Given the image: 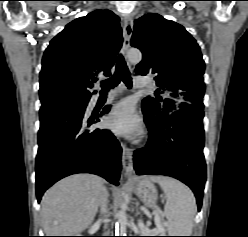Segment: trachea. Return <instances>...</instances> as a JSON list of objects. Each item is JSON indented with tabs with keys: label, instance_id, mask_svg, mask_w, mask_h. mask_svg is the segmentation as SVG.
<instances>
[{
	"label": "trachea",
	"instance_id": "3493384b",
	"mask_svg": "<svg viewBox=\"0 0 248 237\" xmlns=\"http://www.w3.org/2000/svg\"><path fill=\"white\" fill-rule=\"evenodd\" d=\"M120 81H123L128 88L132 87L131 75L122 55L117 58L116 71L112 77L102 82V91H108L116 87Z\"/></svg>",
	"mask_w": 248,
	"mask_h": 237
}]
</instances>
